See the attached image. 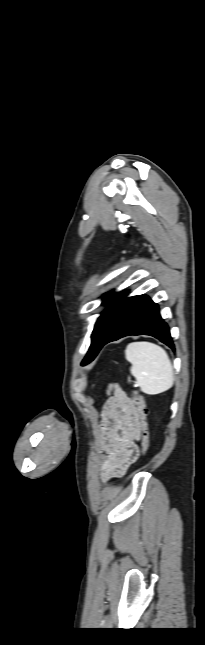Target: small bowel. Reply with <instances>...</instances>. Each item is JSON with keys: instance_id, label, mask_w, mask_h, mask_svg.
Here are the masks:
<instances>
[{"instance_id": "obj_1", "label": "small bowel", "mask_w": 205, "mask_h": 645, "mask_svg": "<svg viewBox=\"0 0 205 645\" xmlns=\"http://www.w3.org/2000/svg\"><path fill=\"white\" fill-rule=\"evenodd\" d=\"M140 428L135 406L122 390L116 389L106 400L102 411L99 448L101 480L107 482L123 476L137 460Z\"/></svg>"}]
</instances>
